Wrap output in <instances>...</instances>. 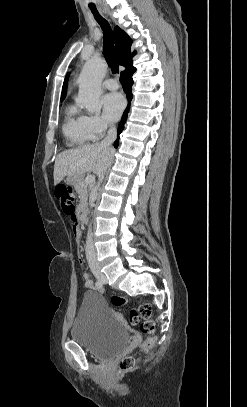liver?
Here are the masks:
<instances>
[{
    "label": "liver",
    "mask_w": 247,
    "mask_h": 407,
    "mask_svg": "<svg viewBox=\"0 0 247 407\" xmlns=\"http://www.w3.org/2000/svg\"><path fill=\"white\" fill-rule=\"evenodd\" d=\"M113 151L99 143L84 145L61 152L54 165V184L60 183L65 176L79 175L93 171L96 175L105 173Z\"/></svg>",
    "instance_id": "6515ba94"
}]
</instances>
